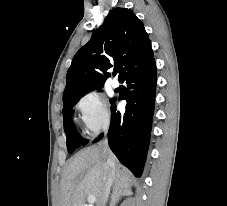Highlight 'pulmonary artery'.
Returning a JSON list of instances; mask_svg holds the SVG:
<instances>
[{
  "mask_svg": "<svg viewBox=\"0 0 227 206\" xmlns=\"http://www.w3.org/2000/svg\"><path fill=\"white\" fill-rule=\"evenodd\" d=\"M110 84L113 88H118L120 85L119 81L115 78L111 80Z\"/></svg>",
  "mask_w": 227,
  "mask_h": 206,
  "instance_id": "obj_1",
  "label": "pulmonary artery"
}]
</instances>
